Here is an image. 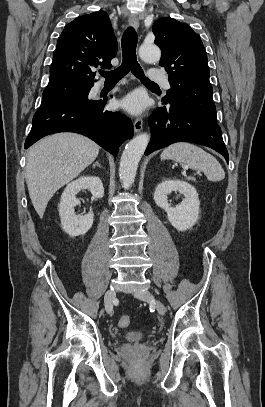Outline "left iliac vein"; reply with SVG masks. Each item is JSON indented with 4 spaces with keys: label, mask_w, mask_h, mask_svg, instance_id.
I'll return each mask as SVG.
<instances>
[{
    "label": "left iliac vein",
    "mask_w": 265,
    "mask_h": 407,
    "mask_svg": "<svg viewBox=\"0 0 265 407\" xmlns=\"http://www.w3.org/2000/svg\"><path fill=\"white\" fill-rule=\"evenodd\" d=\"M134 296L140 300L154 303L157 312L160 315H164L166 313L165 305L159 299H157L148 289L137 291L135 292Z\"/></svg>",
    "instance_id": "left-iliac-vein-1"
}]
</instances>
